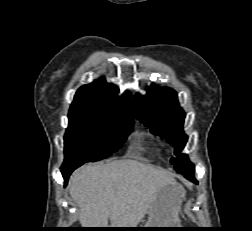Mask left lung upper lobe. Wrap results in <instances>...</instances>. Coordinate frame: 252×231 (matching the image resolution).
<instances>
[{"instance_id":"obj_1","label":"left lung upper lobe","mask_w":252,"mask_h":231,"mask_svg":"<svg viewBox=\"0 0 252 231\" xmlns=\"http://www.w3.org/2000/svg\"><path fill=\"white\" fill-rule=\"evenodd\" d=\"M134 116L150 127L151 132L176 146V158H172L171 163L177 172L182 174L195 171L188 156L181 154L188 139L183 131L186 115L179 106L177 93L173 89L160 88L153 84L147 95L141 96L137 93L134 99Z\"/></svg>"}]
</instances>
